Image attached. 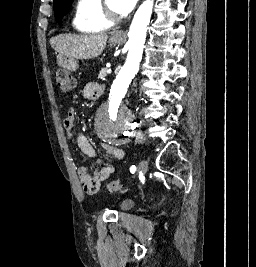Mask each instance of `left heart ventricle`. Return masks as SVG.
<instances>
[{
    "label": "left heart ventricle",
    "instance_id": "1",
    "mask_svg": "<svg viewBox=\"0 0 256 267\" xmlns=\"http://www.w3.org/2000/svg\"><path fill=\"white\" fill-rule=\"evenodd\" d=\"M110 6H111V8L112 9H117V7H116V3L114 2V1H110ZM113 21H110V22H108L106 25H104V28L105 29H108V28H110L112 25H113Z\"/></svg>",
    "mask_w": 256,
    "mask_h": 267
}]
</instances>
